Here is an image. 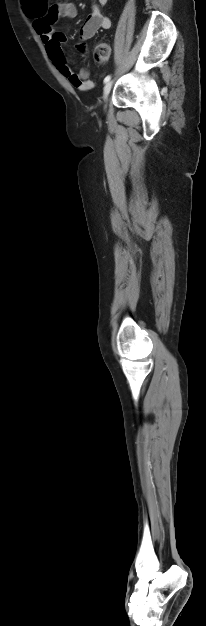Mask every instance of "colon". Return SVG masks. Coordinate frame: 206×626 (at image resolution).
<instances>
[{"label":"colon","instance_id":"1","mask_svg":"<svg viewBox=\"0 0 206 626\" xmlns=\"http://www.w3.org/2000/svg\"><path fill=\"white\" fill-rule=\"evenodd\" d=\"M94 56L96 61L103 63L105 61L108 60L109 56H110V47L107 43H99L96 47H95V52H94Z\"/></svg>","mask_w":206,"mask_h":626}]
</instances>
